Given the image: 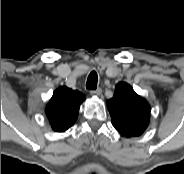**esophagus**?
Here are the masks:
<instances>
[{"label": "esophagus", "instance_id": "1", "mask_svg": "<svg viewBox=\"0 0 184 174\" xmlns=\"http://www.w3.org/2000/svg\"><path fill=\"white\" fill-rule=\"evenodd\" d=\"M101 93H102L101 88H98V89H95V90H91V91H90V94H91L92 96H99V95H101Z\"/></svg>", "mask_w": 184, "mask_h": 174}]
</instances>
